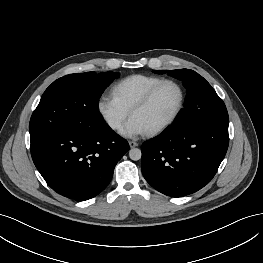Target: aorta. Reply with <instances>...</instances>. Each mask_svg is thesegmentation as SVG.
Here are the masks:
<instances>
[{
  "mask_svg": "<svg viewBox=\"0 0 263 263\" xmlns=\"http://www.w3.org/2000/svg\"><path fill=\"white\" fill-rule=\"evenodd\" d=\"M142 156L141 150L138 148H132L129 150V157L131 160H140Z\"/></svg>",
  "mask_w": 263,
  "mask_h": 263,
  "instance_id": "762f6f07",
  "label": "aorta"
}]
</instances>
